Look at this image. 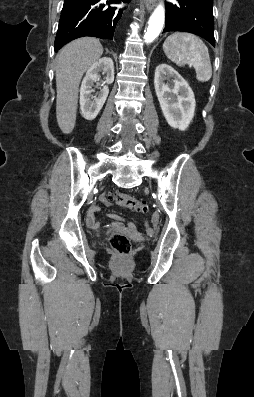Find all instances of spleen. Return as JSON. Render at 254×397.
I'll return each instance as SVG.
<instances>
[{"label":"spleen","mask_w":254,"mask_h":397,"mask_svg":"<svg viewBox=\"0 0 254 397\" xmlns=\"http://www.w3.org/2000/svg\"><path fill=\"white\" fill-rule=\"evenodd\" d=\"M166 56L178 66L192 65L196 79L207 82L212 77L209 51L203 41L190 33L175 32L163 43Z\"/></svg>","instance_id":"1"}]
</instances>
